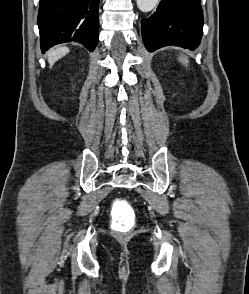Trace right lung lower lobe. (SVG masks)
<instances>
[{
    "label": "right lung lower lobe",
    "mask_w": 249,
    "mask_h": 294,
    "mask_svg": "<svg viewBox=\"0 0 249 294\" xmlns=\"http://www.w3.org/2000/svg\"><path fill=\"white\" fill-rule=\"evenodd\" d=\"M99 0H40L41 50L76 41L93 51L98 43Z\"/></svg>",
    "instance_id": "obj_1"
}]
</instances>
